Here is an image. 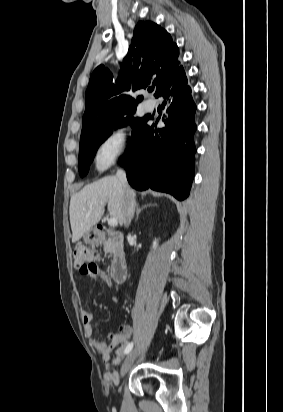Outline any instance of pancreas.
<instances>
[{"label":"pancreas","instance_id":"cf45deb5","mask_svg":"<svg viewBox=\"0 0 283 412\" xmlns=\"http://www.w3.org/2000/svg\"><path fill=\"white\" fill-rule=\"evenodd\" d=\"M104 251H105V253H110L111 252V248H110L108 242H105V244H104Z\"/></svg>","mask_w":283,"mask_h":412}]
</instances>
